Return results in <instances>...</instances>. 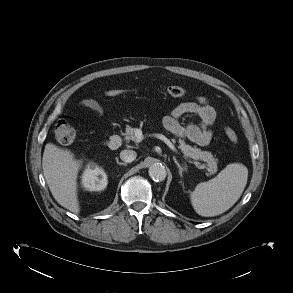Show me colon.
<instances>
[{
	"mask_svg": "<svg viewBox=\"0 0 293 293\" xmlns=\"http://www.w3.org/2000/svg\"><path fill=\"white\" fill-rule=\"evenodd\" d=\"M136 92L137 90L113 89V90L106 91V94L108 96H120V95L129 94V93H136ZM162 92L172 97H181L185 95L186 90L180 86H168V87L162 88ZM54 134L56 139L60 143L66 145L73 142V140L75 139L76 133L71 123L67 119L61 118L55 125ZM225 134L233 144H237L238 136L236 132L230 126L225 127Z\"/></svg>",
	"mask_w": 293,
	"mask_h": 293,
	"instance_id": "colon-1",
	"label": "colon"
}]
</instances>
